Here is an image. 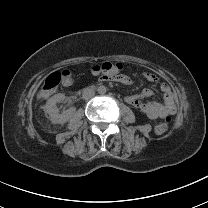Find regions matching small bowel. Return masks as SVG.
I'll use <instances>...</instances> for the list:
<instances>
[{
	"label": "small bowel",
	"mask_w": 208,
	"mask_h": 208,
	"mask_svg": "<svg viewBox=\"0 0 208 208\" xmlns=\"http://www.w3.org/2000/svg\"><path fill=\"white\" fill-rule=\"evenodd\" d=\"M144 78L150 82H156L158 80L154 73H144ZM133 78L129 75L121 74H106L100 75V82H117L120 81L123 84L129 85L132 83ZM70 86L71 84H64ZM160 90L163 96L162 102L149 101L142 102L146 97L152 96L154 91L152 89H144L137 94H132L126 97V102L135 108L139 109L146 117L151 120L157 118H167L176 113L177 107L173 98V94L170 86L167 83H162Z\"/></svg>",
	"instance_id": "small-bowel-1"
}]
</instances>
